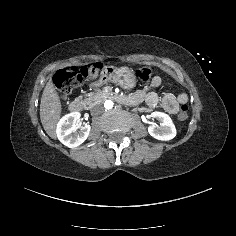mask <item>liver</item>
Listing matches in <instances>:
<instances>
[{"instance_id": "6515ba94", "label": "liver", "mask_w": 236, "mask_h": 236, "mask_svg": "<svg viewBox=\"0 0 236 236\" xmlns=\"http://www.w3.org/2000/svg\"><path fill=\"white\" fill-rule=\"evenodd\" d=\"M61 109L60 98L50 79L41 97L40 119L44 130L52 139L57 138L56 127L60 119Z\"/></svg>"}]
</instances>
